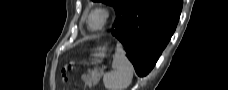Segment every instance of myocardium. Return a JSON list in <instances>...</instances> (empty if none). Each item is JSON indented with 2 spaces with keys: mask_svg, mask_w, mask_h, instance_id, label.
I'll list each match as a JSON object with an SVG mask.
<instances>
[{
  "mask_svg": "<svg viewBox=\"0 0 228 90\" xmlns=\"http://www.w3.org/2000/svg\"><path fill=\"white\" fill-rule=\"evenodd\" d=\"M95 14L100 15L101 23H100V25L98 27L93 28V27L90 26V20ZM109 17H110V13L104 7H96L94 9H92L90 11V13L88 14V18H87V27H88V29L93 31V32H97V31L103 30L106 27V25H107V23L109 21Z\"/></svg>",
  "mask_w": 228,
  "mask_h": 90,
  "instance_id": "obj_1",
  "label": "myocardium"
}]
</instances>
